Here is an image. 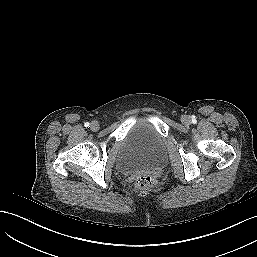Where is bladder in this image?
Here are the masks:
<instances>
[{
    "label": "bladder",
    "mask_w": 257,
    "mask_h": 257,
    "mask_svg": "<svg viewBox=\"0 0 257 257\" xmlns=\"http://www.w3.org/2000/svg\"><path fill=\"white\" fill-rule=\"evenodd\" d=\"M166 154L165 143L148 116L140 117L121 142L119 162L126 172L160 166Z\"/></svg>",
    "instance_id": "obj_1"
}]
</instances>
